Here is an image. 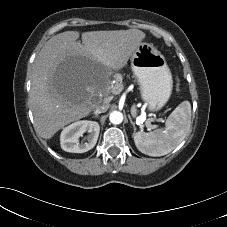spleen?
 Masks as SVG:
<instances>
[{"mask_svg":"<svg viewBox=\"0 0 227 227\" xmlns=\"http://www.w3.org/2000/svg\"><path fill=\"white\" fill-rule=\"evenodd\" d=\"M191 124V104L180 103L169 115L165 127L151 132L133 134L137 149L143 154L159 157L174 150L186 137Z\"/></svg>","mask_w":227,"mask_h":227,"instance_id":"3e777b00","label":"spleen"}]
</instances>
